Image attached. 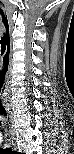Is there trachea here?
Masks as SVG:
<instances>
[{
  "label": "trachea",
  "mask_w": 74,
  "mask_h": 154,
  "mask_svg": "<svg viewBox=\"0 0 74 154\" xmlns=\"http://www.w3.org/2000/svg\"><path fill=\"white\" fill-rule=\"evenodd\" d=\"M2 114L6 115V111L3 109Z\"/></svg>",
  "instance_id": "3493384b"
}]
</instances>
